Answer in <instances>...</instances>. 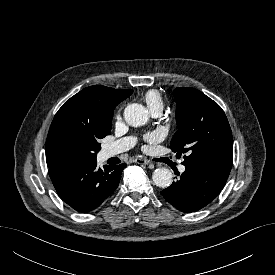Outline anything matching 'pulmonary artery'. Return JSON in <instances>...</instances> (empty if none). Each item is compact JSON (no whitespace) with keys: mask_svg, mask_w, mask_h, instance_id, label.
Returning <instances> with one entry per match:
<instances>
[{"mask_svg":"<svg viewBox=\"0 0 275 275\" xmlns=\"http://www.w3.org/2000/svg\"><path fill=\"white\" fill-rule=\"evenodd\" d=\"M149 109H150L151 114L153 116L157 117L162 113L163 106H154ZM135 142H136L135 138H133V137H126V138H122L116 142H113L104 148V156L109 158V157L118 155L122 152H125V151L129 150L130 148H132L135 145ZM179 171L184 172L185 167L183 165H181L179 167Z\"/></svg>","mask_w":275,"mask_h":275,"instance_id":"obj_1","label":"pulmonary artery"}]
</instances>
